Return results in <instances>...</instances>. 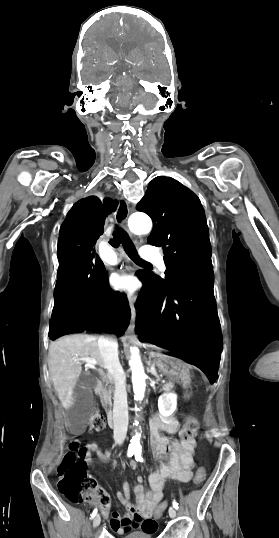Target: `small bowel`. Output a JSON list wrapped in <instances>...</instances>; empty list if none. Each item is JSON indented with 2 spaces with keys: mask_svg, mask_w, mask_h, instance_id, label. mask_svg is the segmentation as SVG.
<instances>
[{
  "mask_svg": "<svg viewBox=\"0 0 279 538\" xmlns=\"http://www.w3.org/2000/svg\"><path fill=\"white\" fill-rule=\"evenodd\" d=\"M178 429L175 421L165 422L156 418L151 426V448L156 458L162 459L169 455L167 462H160L158 468L151 472L149 476V487L146 489L143 477L138 476V485L134 488L136 507L134 512H129L124 516L114 514L110 521L113 531L118 534L128 532L132 527L141 528L145 532L156 531V521L151 518V513L156 505L162 500L166 484L169 481H180L186 483L192 477V451L195 446L193 439L179 442L173 437ZM164 431L167 435L161 436L158 432ZM89 452L87 462L91 461L90 454L95 452L103 462H108L111 456L109 451H102L96 442L86 445ZM131 469H136L137 462H130ZM123 491L117 493L119 502L126 508L133 510L129 501L130 486L127 481L123 482Z\"/></svg>",
  "mask_w": 279,
  "mask_h": 538,
  "instance_id": "c3829d8e",
  "label": "small bowel"
}]
</instances>
